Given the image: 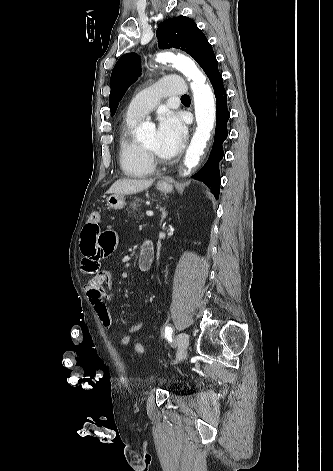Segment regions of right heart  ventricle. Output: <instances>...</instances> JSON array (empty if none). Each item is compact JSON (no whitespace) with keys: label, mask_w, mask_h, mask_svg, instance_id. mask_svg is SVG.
Masks as SVG:
<instances>
[{"label":"right heart ventricle","mask_w":333,"mask_h":471,"mask_svg":"<svg viewBox=\"0 0 333 471\" xmlns=\"http://www.w3.org/2000/svg\"><path fill=\"white\" fill-rule=\"evenodd\" d=\"M138 120L125 118L119 134L120 166L130 177H145L154 171V163L132 134Z\"/></svg>","instance_id":"obj_1"}]
</instances>
